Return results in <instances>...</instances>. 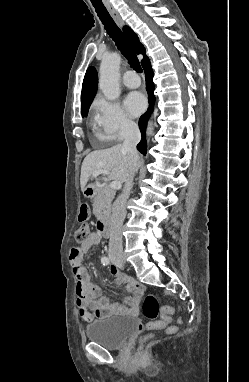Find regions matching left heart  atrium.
<instances>
[{
	"mask_svg": "<svg viewBox=\"0 0 249 382\" xmlns=\"http://www.w3.org/2000/svg\"><path fill=\"white\" fill-rule=\"evenodd\" d=\"M125 106L132 116H137L141 114L146 107L145 97L139 92H132L127 96Z\"/></svg>",
	"mask_w": 249,
	"mask_h": 382,
	"instance_id": "obj_1",
	"label": "left heart atrium"
}]
</instances>
